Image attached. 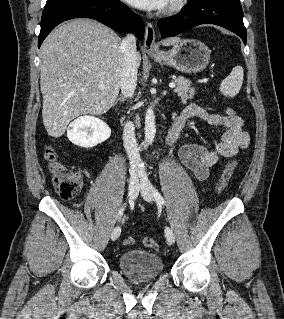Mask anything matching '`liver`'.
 Returning a JSON list of instances; mask_svg holds the SVG:
<instances>
[{"mask_svg": "<svg viewBox=\"0 0 284 319\" xmlns=\"http://www.w3.org/2000/svg\"><path fill=\"white\" fill-rule=\"evenodd\" d=\"M178 41L174 37L162 43ZM121 43L112 29L90 19L72 20L47 36L40 52V89L43 124L50 136H62L80 115H102L112 107L120 89ZM140 63L138 52L137 67Z\"/></svg>", "mask_w": 284, "mask_h": 319, "instance_id": "1", "label": "liver"}]
</instances>
